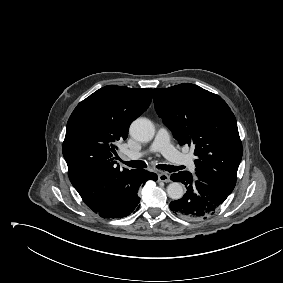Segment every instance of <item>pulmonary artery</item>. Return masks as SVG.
I'll list each match as a JSON object with an SVG mask.
<instances>
[{"label":"pulmonary artery","mask_w":283,"mask_h":283,"mask_svg":"<svg viewBox=\"0 0 283 283\" xmlns=\"http://www.w3.org/2000/svg\"><path fill=\"white\" fill-rule=\"evenodd\" d=\"M150 152H160L168 160L179 164L184 165L192 173L195 171V164L193 158L190 155L183 154L179 152L170 142L169 132L166 128L161 127L158 129L154 141L152 142ZM144 152L128 150L125 152V159L134 160L142 157Z\"/></svg>","instance_id":"obj_1"}]
</instances>
